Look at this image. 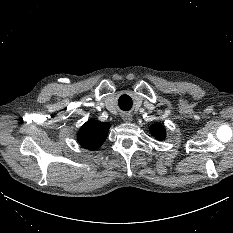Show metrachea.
<instances>
[{
    "label": "trachea",
    "instance_id": "obj_1",
    "mask_svg": "<svg viewBox=\"0 0 233 233\" xmlns=\"http://www.w3.org/2000/svg\"><path fill=\"white\" fill-rule=\"evenodd\" d=\"M130 107H131V104H130V103H128V108H126V109H124V110H129V109H130Z\"/></svg>",
    "mask_w": 233,
    "mask_h": 233
}]
</instances>
